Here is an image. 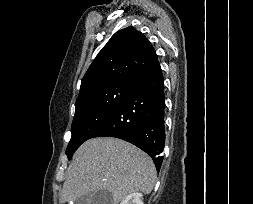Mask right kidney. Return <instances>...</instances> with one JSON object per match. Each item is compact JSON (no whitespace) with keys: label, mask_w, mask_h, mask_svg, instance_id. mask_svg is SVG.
<instances>
[{"label":"right kidney","mask_w":253,"mask_h":204,"mask_svg":"<svg viewBox=\"0 0 253 204\" xmlns=\"http://www.w3.org/2000/svg\"><path fill=\"white\" fill-rule=\"evenodd\" d=\"M120 204H144L141 193H132L127 195Z\"/></svg>","instance_id":"ca27d5eb"}]
</instances>
